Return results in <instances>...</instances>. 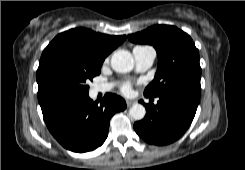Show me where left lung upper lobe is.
Wrapping results in <instances>:
<instances>
[{
  "label": "left lung upper lobe",
  "mask_w": 245,
  "mask_h": 170,
  "mask_svg": "<svg viewBox=\"0 0 245 170\" xmlns=\"http://www.w3.org/2000/svg\"><path fill=\"white\" fill-rule=\"evenodd\" d=\"M133 43L153 45L158 54L154 80L144 95L157 97L169 92H183L200 97L201 67L199 51L188 34L175 26L155 25L128 35Z\"/></svg>",
  "instance_id": "1"
}]
</instances>
